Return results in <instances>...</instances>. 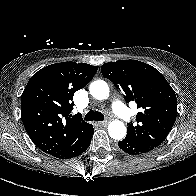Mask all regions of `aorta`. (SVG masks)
<instances>
[{"instance_id":"aorta-1","label":"aorta","mask_w":196,"mask_h":196,"mask_svg":"<svg viewBox=\"0 0 196 196\" xmlns=\"http://www.w3.org/2000/svg\"><path fill=\"white\" fill-rule=\"evenodd\" d=\"M89 91L97 100H104L109 96V86L103 80L92 82L89 86ZM108 133L112 139L122 140L126 136V126L122 121L114 120L108 125Z\"/></svg>"}]
</instances>
